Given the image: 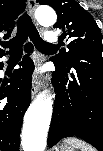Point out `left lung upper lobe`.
Here are the masks:
<instances>
[{"mask_svg": "<svg viewBox=\"0 0 103 151\" xmlns=\"http://www.w3.org/2000/svg\"><path fill=\"white\" fill-rule=\"evenodd\" d=\"M50 5L58 14L54 28L62 29L60 39L69 40L68 50L61 49L51 60L60 65H69L83 52L103 51L102 34L94 18L75 0H39Z\"/></svg>", "mask_w": 103, "mask_h": 151, "instance_id": "obj_1", "label": "left lung upper lobe"}]
</instances>
